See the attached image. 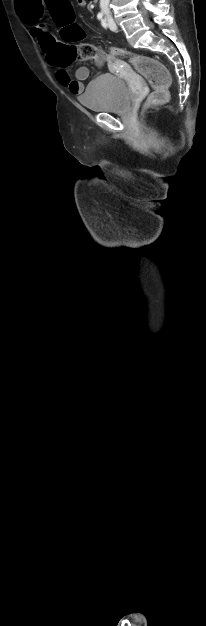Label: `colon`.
Masks as SVG:
<instances>
[{
	"instance_id": "colon-1",
	"label": "colon",
	"mask_w": 206,
	"mask_h": 626,
	"mask_svg": "<svg viewBox=\"0 0 206 626\" xmlns=\"http://www.w3.org/2000/svg\"><path fill=\"white\" fill-rule=\"evenodd\" d=\"M46 4L56 24L61 27V35L65 41L73 42L84 37V31L75 23L70 0H46ZM108 53L115 57L127 58L135 70L149 82L152 92L145 102V108L161 105L167 101L170 76L164 64L155 58L132 55L119 48H111L106 52L96 45L82 43L58 44L54 49L53 61L62 67L76 60L93 61L100 65Z\"/></svg>"
}]
</instances>
